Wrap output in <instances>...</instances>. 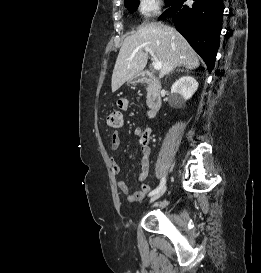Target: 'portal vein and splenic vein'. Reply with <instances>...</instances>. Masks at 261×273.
<instances>
[{"label":"portal vein and splenic vein","instance_id":"portal-vein-and-splenic-vein-1","mask_svg":"<svg viewBox=\"0 0 261 273\" xmlns=\"http://www.w3.org/2000/svg\"><path fill=\"white\" fill-rule=\"evenodd\" d=\"M139 49H140V48H138L136 51H138ZM144 51L150 53V55L152 56L153 67H154V69H155V70H160L161 67H162V64H161V62H159V61L157 60V58H156L154 52H153L150 48H148V47H145V48H144Z\"/></svg>","mask_w":261,"mask_h":273}]
</instances>
